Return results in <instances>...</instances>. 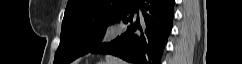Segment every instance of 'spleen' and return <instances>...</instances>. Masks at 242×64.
I'll return each mask as SVG.
<instances>
[{
  "label": "spleen",
  "instance_id": "obj_1",
  "mask_svg": "<svg viewBox=\"0 0 242 64\" xmlns=\"http://www.w3.org/2000/svg\"><path fill=\"white\" fill-rule=\"evenodd\" d=\"M105 59H106L107 64H127L126 62L122 61L121 59H118L111 55H107Z\"/></svg>",
  "mask_w": 242,
  "mask_h": 64
}]
</instances>
